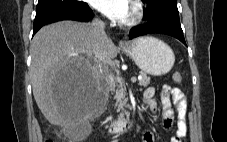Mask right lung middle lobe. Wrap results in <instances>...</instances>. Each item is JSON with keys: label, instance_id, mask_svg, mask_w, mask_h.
Wrapping results in <instances>:
<instances>
[{"label": "right lung middle lobe", "instance_id": "right-lung-middle-lobe-1", "mask_svg": "<svg viewBox=\"0 0 227 142\" xmlns=\"http://www.w3.org/2000/svg\"><path fill=\"white\" fill-rule=\"evenodd\" d=\"M87 3L81 0H38L36 12L55 8L77 7Z\"/></svg>", "mask_w": 227, "mask_h": 142}]
</instances>
